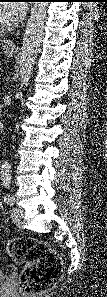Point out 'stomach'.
I'll return each instance as SVG.
<instances>
[{
    "label": "stomach",
    "mask_w": 107,
    "mask_h": 297,
    "mask_svg": "<svg viewBox=\"0 0 107 297\" xmlns=\"http://www.w3.org/2000/svg\"><path fill=\"white\" fill-rule=\"evenodd\" d=\"M14 52H15V49H6V48H4V54L6 55V56H12L13 54H14Z\"/></svg>",
    "instance_id": "stomach-1"
}]
</instances>
